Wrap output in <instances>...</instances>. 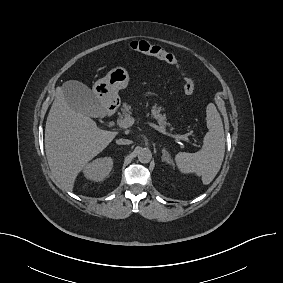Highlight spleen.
Returning <instances> with one entry per match:
<instances>
[{
    "mask_svg": "<svg viewBox=\"0 0 283 283\" xmlns=\"http://www.w3.org/2000/svg\"><path fill=\"white\" fill-rule=\"evenodd\" d=\"M206 120L209 131L204 136L202 149L196 153L180 152L175 156L181 173H196L205 185L211 183L219 172L225 153L223 123L213 103L207 105Z\"/></svg>",
    "mask_w": 283,
    "mask_h": 283,
    "instance_id": "obj_1",
    "label": "spleen"
}]
</instances>
